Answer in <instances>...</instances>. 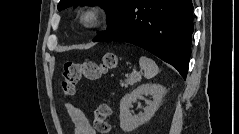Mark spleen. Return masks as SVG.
I'll return each instance as SVG.
<instances>
[{"mask_svg": "<svg viewBox=\"0 0 239 134\" xmlns=\"http://www.w3.org/2000/svg\"><path fill=\"white\" fill-rule=\"evenodd\" d=\"M140 68L144 71V76L146 79H151L158 74V66L154 60L141 56L139 59Z\"/></svg>", "mask_w": 239, "mask_h": 134, "instance_id": "obj_1", "label": "spleen"}]
</instances>
